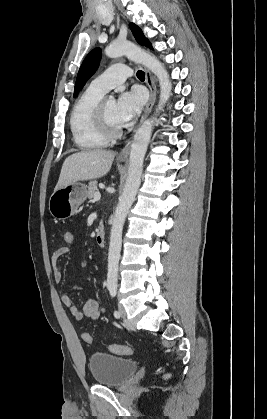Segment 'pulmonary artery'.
<instances>
[{
  "mask_svg": "<svg viewBox=\"0 0 267 419\" xmlns=\"http://www.w3.org/2000/svg\"><path fill=\"white\" fill-rule=\"evenodd\" d=\"M131 75L132 71L128 66L114 64L92 80L89 87L105 94L112 88L124 83Z\"/></svg>",
  "mask_w": 267,
  "mask_h": 419,
  "instance_id": "pulmonary-artery-1",
  "label": "pulmonary artery"
}]
</instances>
